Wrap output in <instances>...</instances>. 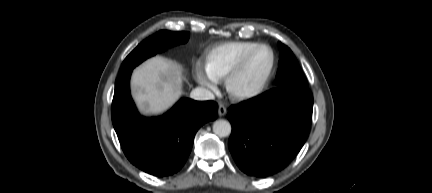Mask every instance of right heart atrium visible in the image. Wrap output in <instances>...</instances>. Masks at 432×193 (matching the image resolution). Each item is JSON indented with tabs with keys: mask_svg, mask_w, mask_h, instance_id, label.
I'll use <instances>...</instances> for the list:
<instances>
[{
	"mask_svg": "<svg viewBox=\"0 0 432 193\" xmlns=\"http://www.w3.org/2000/svg\"><path fill=\"white\" fill-rule=\"evenodd\" d=\"M196 77L200 84L213 88L215 86V79L210 74L201 68H197Z\"/></svg>",
	"mask_w": 432,
	"mask_h": 193,
	"instance_id": "d8ad5b80",
	"label": "right heart atrium"
}]
</instances>
